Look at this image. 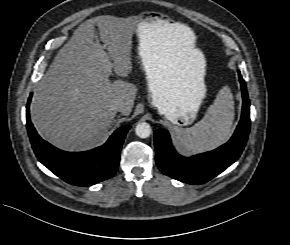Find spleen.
<instances>
[{
    "label": "spleen",
    "mask_w": 290,
    "mask_h": 245,
    "mask_svg": "<svg viewBox=\"0 0 290 245\" xmlns=\"http://www.w3.org/2000/svg\"><path fill=\"white\" fill-rule=\"evenodd\" d=\"M234 120L233 95L228 86L218 92L202 120L186 129L174 127L180 145L188 152H205L228 140Z\"/></svg>",
    "instance_id": "3e777b00"
}]
</instances>
